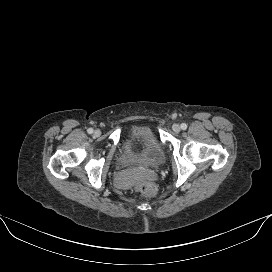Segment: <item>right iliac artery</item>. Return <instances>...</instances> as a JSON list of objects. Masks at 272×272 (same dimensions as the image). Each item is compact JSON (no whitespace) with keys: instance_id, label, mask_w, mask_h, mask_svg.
Here are the masks:
<instances>
[{"instance_id":"1","label":"right iliac artery","mask_w":272,"mask_h":272,"mask_svg":"<svg viewBox=\"0 0 272 272\" xmlns=\"http://www.w3.org/2000/svg\"><path fill=\"white\" fill-rule=\"evenodd\" d=\"M87 132H88L89 134H92V133H93V129H92V128H89V129L87 130Z\"/></svg>"}]
</instances>
